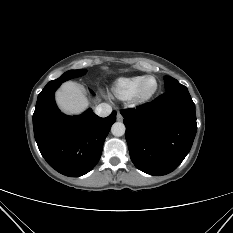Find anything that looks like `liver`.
<instances>
[{"label": "liver", "instance_id": "6515ba94", "mask_svg": "<svg viewBox=\"0 0 233 233\" xmlns=\"http://www.w3.org/2000/svg\"><path fill=\"white\" fill-rule=\"evenodd\" d=\"M56 102L62 111L70 115L80 114L89 106L83 90L71 81L63 83L56 92Z\"/></svg>", "mask_w": 233, "mask_h": 233}]
</instances>
